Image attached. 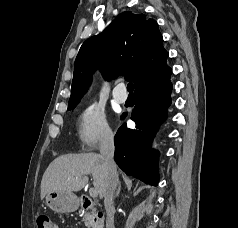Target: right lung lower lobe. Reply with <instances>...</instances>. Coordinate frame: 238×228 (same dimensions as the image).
I'll list each match as a JSON object with an SVG mask.
<instances>
[{
	"label": "right lung lower lobe",
	"mask_w": 238,
	"mask_h": 228,
	"mask_svg": "<svg viewBox=\"0 0 238 228\" xmlns=\"http://www.w3.org/2000/svg\"><path fill=\"white\" fill-rule=\"evenodd\" d=\"M172 70H165L161 75L140 86L135 91V107L131 119L135 129H129L124 123L115 135L114 159L127 174L146 184H158V155L151 150V143L156 131L167 117V107L171 104L170 93ZM126 114L122 115L124 118Z\"/></svg>",
	"instance_id": "98d812e1"
}]
</instances>
